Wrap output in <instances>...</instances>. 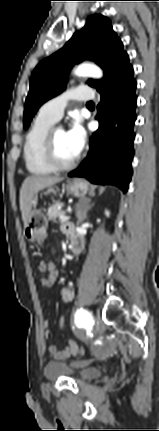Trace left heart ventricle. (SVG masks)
Wrapping results in <instances>:
<instances>
[{"mask_svg":"<svg viewBox=\"0 0 159 431\" xmlns=\"http://www.w3.org/2000/svg\"><path fill=\"white\" fill-rule=\"evenodd\" d=\"M55 148L58 159L63 163H68L74 160L77 155L69 146L65 131L56 130L55 132Z\"/></svg>","mask_w":159,"mask_h":431,"instance_id":"b2bd125f","label":"left heart ventricle"}]
</instances>
